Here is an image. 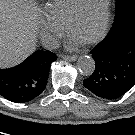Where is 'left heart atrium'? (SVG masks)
<instances>
[{"mask_svg": "<svg viewBox=\"0 0 135 135\" xmlns=\"http://www.w3.org/2000/svg\"><path fill=\"white\" fill-rule=\"evenodd\" d=\"M78 43H79V42H77L76 40H74V39L71 38V44H72V45H77Z\"/></svg>", "mask_w": 135, "mask_h": 135, "instance_id": "left-heart-atrium-1", "label": "left heart atrium"}]
</instances>
